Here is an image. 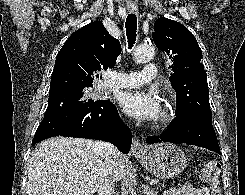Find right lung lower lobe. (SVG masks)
Masks as SVG:
<instances>
[{"instance_id": "right-lung-lower-lobe-1", "label": "right lung lower lobe", "mask_w": 245, "mask_h": 195, "mask_svg": "<svg viewBox=\"0 0 245 195\" xmlns=\"http://www.w3.org/2000/svg\"><path fill=\"white\" fill-rule=\"evenodd\" d=\"M54 136L103 140L113 143L127 154L131 148L132 133L121 120L110 100H97L90 106H79L44 116L32 146Z\"/></svg>"}]
</instances>
